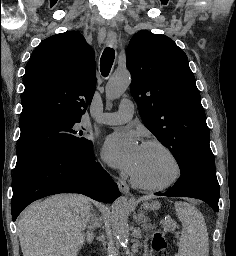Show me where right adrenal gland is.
I'll return each mask as SVG.
<instances>
[{
  "label": "right adrenal gland",
  "instance_id": "2a0ac1e0",
  "mask_svg": "<svg viewBox=\"0 0 236 256\" xmlns=\"http://www.w3.org/2000/svg\"><path fill=\"white\" fill-rule=\"evenodd\" d=\"M95 228H100L99 218H97L95 210H91V214L88 220V232H93Z\"/></svg>",
  "mask_w": 236,
  "mask_h": 256
}]
</instances>
